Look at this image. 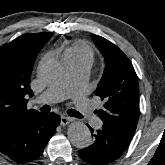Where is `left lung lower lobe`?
Segmentation results:
<instances>
[{"label":"left lung lower lobe","instance_id":"0a47b994","mask_svg":"<svg viewBox=\"0 0 165 165\" xmlns=\"http://www.w3.org/2000/svg\"><path fill=\"white\" fill-rule=\"evenodd\" d=\"M88 127L93 143L78 153L83 161L91 165H104L115 161L126 150L133 137L107 124H103L97 131Z\"/></svg>","mask_w":165,"mask_h":165}]
</instances>
